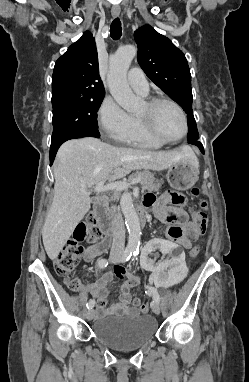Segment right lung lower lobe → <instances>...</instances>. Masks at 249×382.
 Returning <instances> with one entry per match:
<instances>
[{"label": "right lung lower lobe", "mask_w": 249, "mask_h": 382, "mask_svg": "<svg viewBox=\"0 0 249 382\" xmlns=\"http://www.w3.org/2000/svg\"><path fill=\"white\" fill-rule=\"evenodd\" d=\"M87 136H92L99 138L100 134L95 133V132H78V133H72L68 134L58 140L51 141V147H50V165H52L55 155L57 153L58 148L63 144L65 141L70 140V139H76V138H82V137H87Z\"/></svg>", "instance_id": "1"}]
</instances>
